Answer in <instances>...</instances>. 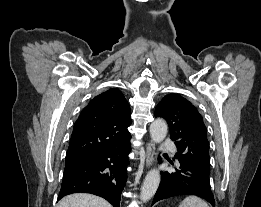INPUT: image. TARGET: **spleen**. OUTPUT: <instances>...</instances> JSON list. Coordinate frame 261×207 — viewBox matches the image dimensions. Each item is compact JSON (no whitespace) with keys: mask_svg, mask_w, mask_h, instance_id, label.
I'll list each match as a JSON object with an SVG mask.
<instances>
[{"mask_svg":"<svg viewBox=\"0 0 261 207\" xmlns=\"http://www.w3.org/2000/svg\"><path fill=\"white\" fill-rule=\"evenodd\" d=\"M179 207H209L208 204L196 196H189L185 198Z\"/></svg>","mask_w":261,"mask_h":207,"instance_id":"3e777b00","label":"spleen"}]
</instances>
